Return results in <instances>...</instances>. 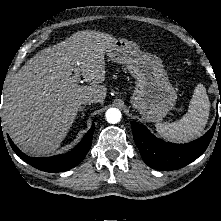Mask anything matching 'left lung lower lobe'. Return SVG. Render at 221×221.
Wrapping results in <instances>:
<instances>
[{"mask_svg":"<svg viewBox=\"0 0 221 221\" xmlns=\"http://www.w3.org/2000/svg\"><path fill=\"white\" fill-rule=\"evenodd\" d=\"M217 118L203 137L187 144L164 142L156 138L144 125L134 121H131V127L135 144L144 162L154 169L170 171L188 165L203 154L213 137Z\"/></svg>","mask_w":221,"mask_h":221,"instance_id":"obj_1","label":"left lung lower lobe"}]
</instances>
